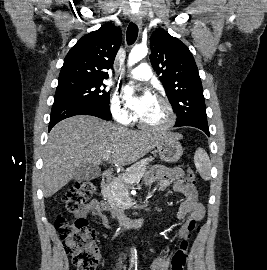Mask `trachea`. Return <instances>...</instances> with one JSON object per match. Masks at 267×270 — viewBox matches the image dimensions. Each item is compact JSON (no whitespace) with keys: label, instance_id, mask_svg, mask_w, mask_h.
Instances as JSON below:
<instances>
[{"label":"trachea","instance_id":"3493384b","mask_svg":"<svg viewBox=\"0 0 267 270\" xmlns=\"http://www.w3.org/2000/svg\"><path fill=\"white\" fill-rule=\"evenodd\" d=\"M138 36V27L135 23H130L127 28L126 38L128 45H132Z\"/></svg>","mask_w":267,"mask_h":270}]
</instances>
